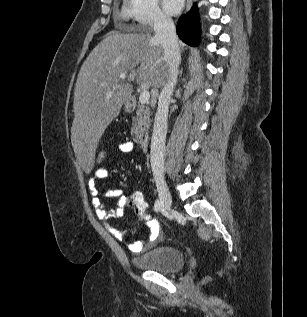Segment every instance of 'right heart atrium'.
Returning a JSON list of instances; mask_svg holds the SVG:
<instances>
[{
	"label": "right heart atrium",
	"instance_id": "1",
	"mask_svg": "<svg viewBox=\"0 0 307 317\" xmlns=\"http://www.w3.org/2000/svg\"><path fill=\"white\" fill-rule=\"evenodd\" d=\"M126 14L142 26L160 27L170 22L158 0H128Z\"/></svg>",
	"mask_w": 307,
	"mask_h": 317
}]
</instances>
